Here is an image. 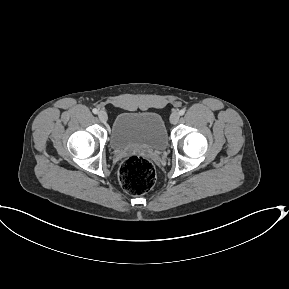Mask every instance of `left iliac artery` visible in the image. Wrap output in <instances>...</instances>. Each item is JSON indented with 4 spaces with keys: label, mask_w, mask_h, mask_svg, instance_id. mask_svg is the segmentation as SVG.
Here are the masks:
<instances>
[{
    "label": "left iliac artery",
    "mask_w": 289,
    "mask_h": 289,
    "mask_svg": "<svg viewBox=\"0 0 289 289\" xmlns=\"http://www.w3.org/2000/svg\"><path fill=\"white\" fill-rule=\"evenodd\" d=\"M179 114H180V115H184V114H185V109H181V110L179 111Z\"/></svg>",
    "instance_id": "1"
}]
</instances>
